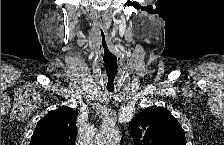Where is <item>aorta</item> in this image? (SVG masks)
<instances>
[{
    "mask_svg": "<svg viewBox=\"0 0 224 145\" xmlns=\"http://www.w3.org/2000/svg\"><path fill=\"white\" fill-rule=\"evenodd\" d=\"M120 140V132L113 126L101 129L96 136L97 145H117Z\"/></svg>",
    "mask_w": 224,
    "mask_h": 145,
    "instance_id": "1",
    "label": "aorta"
}]
</instances>
